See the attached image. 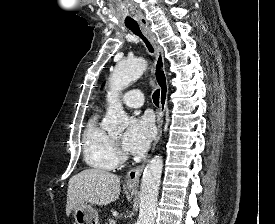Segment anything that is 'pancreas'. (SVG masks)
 Returning <instances> with one entry per match:
<instances>
[{
  "label": "pancreas",
  "instance_id": "pancreas-1",
  "mask_svg": "<svg viewBox=\"0 0 275 224\" xmlns=\"http://www.w3.org/2000/svg\"><path fill=\"white\" fill-rule=\"evenodd\" d=\"M106 224H116V222L113 219H108V223Z\"/></svg>",
  "mask_w": 275,
  "mask_h": 224
}]
</instances>
